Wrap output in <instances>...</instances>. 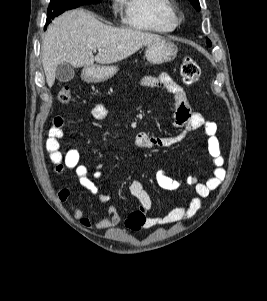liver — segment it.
Returning <instances> with one entry per match:
<instances>
[{
	"label": "liver",
	"mask_w": 267,
	"mask_h": 301,
	"mask_svg": "<svg viewBox=\"0 0 267 301\" xmlns=\"http://www.w3.org/2000/svg\"><path fill=\"white\" fill-rule=\"evenodd\" d=\"M156 34L103 24L83 9L67 11L52 21L42 41L41 60L46 82L52 87L56 68L62 63L89 68L94 62L121 61L144 45L160 40ZM101 50L94 57L93 50Z\"/></svg>",
	"instance_id": "6515ba94"
}]
</instances>
